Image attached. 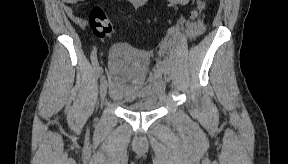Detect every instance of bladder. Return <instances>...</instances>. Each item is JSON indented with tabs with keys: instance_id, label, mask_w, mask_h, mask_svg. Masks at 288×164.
<instances>
[{
	"instance_id": "1",
	"label": "bladder",
	"mask_w": 288,
	"mask_h": 164,
	"mask_svg": "<svg viewBox=\"0 0 288 164\" xmlns=\"http://www.w3.org/2000/svg\"><path fill=\"white\" fill-rule=\"evenodd\" d=\"M149 64V53L136 48L118 47L109 55V95L127 111L151 112L158 108L156 97L146 86Z\"/></svg>"
}]
</instances>
